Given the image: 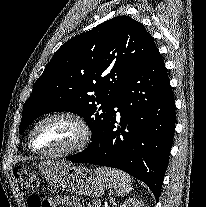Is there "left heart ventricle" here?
<instances>
[{"instance_id":"1","label":"left heart ventricle","mask_w":206,"mask_h":207,"mask_svg":"<svg viewBox=\"0 0 206 207\" xmlns=\"http://www.w3.org/2000/svg\"><path fill=\"white\" fill-rule=\"evenodd\" d=\"M80 129L66 118L50 119L42 123L33 136L34 146L42 150H56L73 145L80 138Z\"/></svg>"}]
</instances>
